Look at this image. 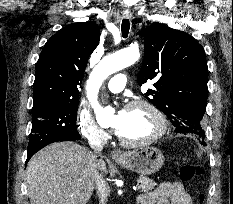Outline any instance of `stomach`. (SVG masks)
<instances>
[{
    "label": "stomach",
    "instance_id": "1",
    "mask_svg": "<svg viewBox=\"0 0 233 204\" xmlns=\"http://www.w3.org/2000/svg\"><path fill=\"white\" fill-rule=\"evenodd\" d=\"M165 158L161 150L155 147H145L125 153L116 162L123 168L141 175H151L162 167Z\"/></svg>",
    "mask_w": 233,
    "mask_h": 204
}]
</instances>
